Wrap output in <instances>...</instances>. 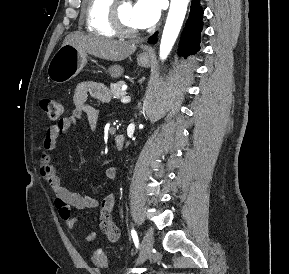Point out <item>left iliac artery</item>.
<instances>
[{
	"mask_svg": "<svg viewBox=\"0 0 289 274\" xmlns=\"http://www.w3.org/2000/svg\"><path fill=\"white\" fill-rule=\"evenodd\" d=\"M131 236H132V239H133V241H134L135 247L138 248V246H139V239H138L137 232H136L134 229L131 230Z\"/></svg>",
	"mask_w": 289,
	"mask_h": 274,
	"instance_id": "1",
	"label": "left iliac artery"
}]
</instances>
